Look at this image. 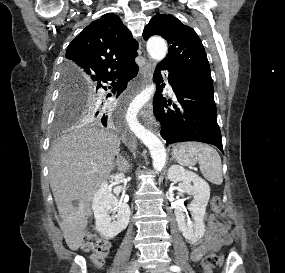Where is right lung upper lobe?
<instances>
[{"label": "right lung upper lobe", "instance_id": "1", "mask_svg": "<svg viewBox=\"0 0 285 273\" xmlns=\"http://www.w3.org/2000/svg\"><path fill=\"white\" fill-rule=\"evenodd\" d=\"M137 41L113 13L93 21L69 44L63 71L89 84L134 62Z\"/></svg>", "mask_w": 285, "mask_h": 273}]
</instances>
